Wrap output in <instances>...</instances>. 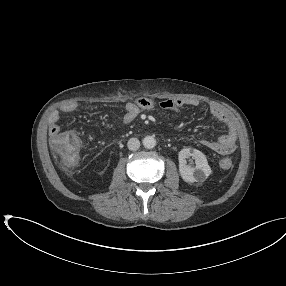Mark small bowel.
<instances>
[{
  "label": "small bowel",
  "mask_w": 286,
  "mask_h": 286,
  "mask_svg": "<svg viewBox=\"0 0 286 286\" xmlns=\"http://www.w3.org/2000/svg\"><path fill=\"white\" fill-rule=\"evenodd\" d=\"M198 106L199 102L195 99H166L159 103H155L154 101L141 97L138 98L135 102H130L125 105L124 108V116H123V124H129L133 122L141 112L143 111H152L157 108L164 111H171L174 113H178L180 109L185 106ZM78 105L75 102H70L64 104L59 110L54 111L50 116V128L49 133L52 137L53 135L59 133L60 127L58 125V121L60 119V114H70L77 109ZM209 111L211 115L222 122L227 130L226 133L221 136L218 140H207L201 139L199 143L220 155H230L233 153L237 147V135L236 128L233 123L231 116L226 112L223 108L218 105H210Z\"/></svg>",
  "instance_id": "obj_1"
}]
</instances>
